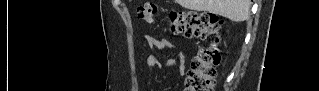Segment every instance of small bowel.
<instances>
[{
  "label": "small bowel",
  "mask_w": 319,
  "mask_h": 91,
  "mask_svg": "<svg viewBox=\"0 0 319 91\" xmlns=\"http://www.w3.org/2000/svg\"><path fill=\"white\" fill-rule=\"evenodd\" d=\"M145 40L150 48L155 49H174L175 42L167 38H156L152 35H146ZM144 64L148 68H160L161 62L154 55H147ZM166 66H177L178 73L184 75L186 73L185 55L182 52H176L174 55L165 60Z\"/></svg>",
  "instance_id": "c3829d8e"
}]
</instances>
